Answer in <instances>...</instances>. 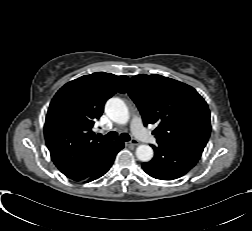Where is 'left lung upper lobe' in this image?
<instances>
[{
	"mask_svg": "<svg viewBox=\"0 0 252 231\" xmlns=\"http://www.w3.org/2000/svg\"><path fill=\"white\" fill-rule=\"evenodd\" d=\"M137 105L144 125L157 124L158 141L205 147L211 132L210 111L191 86L161 75H136L120 90Z\"/></svg>",
	"mask_w": 252,
	"mask_h": 231,
	"instance_id": "1",
	"label": "left lung upper lobe"
}]
</instances>
